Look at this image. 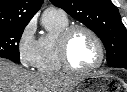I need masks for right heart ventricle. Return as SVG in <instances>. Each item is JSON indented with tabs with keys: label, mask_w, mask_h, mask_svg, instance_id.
Wrapping results in <instances>:
<instances>
[{
	"label": "right heart ventricle",
	"mask_w": 127,
	"mask_h": 92,
	"mask_svg": "<svg viewBox=\"0 0 127 92\" xmlns=\"http://www.w3.org/2000/svg\"><path fill=\"white\" fill-rule=\"evenodd\" d=\"M43 24L47 32L38 39L36 70L40 74H60L64 68L59 59L58 43L62 32L70 26L69 19L61 11H47Z\"/></svg>",
	"instance_id": "right-heart-ventricle-1"
}]
</instances>
